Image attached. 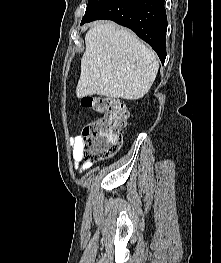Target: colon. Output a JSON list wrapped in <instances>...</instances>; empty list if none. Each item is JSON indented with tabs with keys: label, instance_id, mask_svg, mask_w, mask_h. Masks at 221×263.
<instances>
[{
	"label": "colon",
	"instance_id": "5ec220e1",
	"mask_svg": "<svg viewBox=\"0 0 221 263\" xmlns=\"http://www.w3.org/2000/svg\"><path fill=\"white\" fill-rule=\"evenodd\" d=\"M81 105L101 114L83 130L84 159L95 161L112 156L121 143V132L129 117L127 108L107 96H83Z\"/></svg>",
	"mask_w": 221,
	"mask_h": 263
}]
</instances>
